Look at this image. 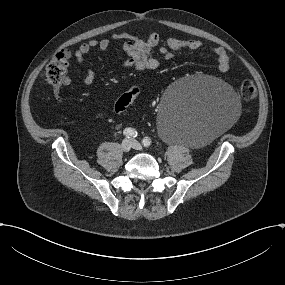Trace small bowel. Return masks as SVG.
<instances>
[{
    "mask_svg": "<svg viewBox=\"0 0 285 285\" xmlns=\"http://www.w3.org/2000/svg\"><path fill=\"white\" fill-rule=\"evenodd\" d=\"M114 41H122V50L125 54L123 67L136 70H152L158 67L159 59L153 53L155 49H158L159 55L163 59L170 60L174 57L175 52L182 50L198 52L204 46L200 40H181L173 37L169 38L164 45H160L159 35L155 32L149 33L145 37L121 32L113 34L110 38L91 39L81 44L74 52L75 58L81 63L92 50H107ZM213 53L217 58L219 70L227 72L230 69V60L226 50L223 47H215ZM94 80V70L88 69L83 77V83L91 85ZM70 83V78L65 77L60 87H67Z\"/></svg>",
    "mask_w": 285,
    "mask_h": 285,
    "instance_id": "small-bowel-1",
    "label": "small bowel"
}]
</instances>
